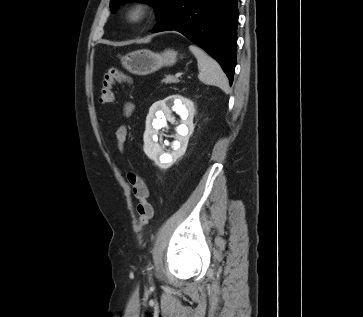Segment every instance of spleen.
Instances as JSON below:
<instances>
[{"instance_id": "3e777b00", "label": "spleen", "mask_w": 363, "mask_h": 317, "mask_svg": "<svg viewBox=\"0 0 363 317\" xmlns=\"http://www.w3.org/2000/svg\"><path fill=\"white\" fill-rule=\"evenodd\" d=\"M189 49L198 62L199 80L205 84L218 86L225 93H229V82L219 63L195 45H190Z\"/></svg>"}]
</instances>
